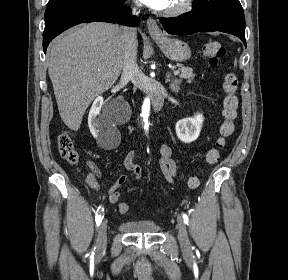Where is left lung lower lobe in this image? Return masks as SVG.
<instances>
[{"label":"left lung lower lobe","mask_w":288,"mask_h":280,"mask_svg":"<svg viewBox=\"0 0 288 280\" xmlns=\"http://www.w3.org/2000/svg\"><path fill=\"white\" fill-rule=\"evenodd\" d=\"M165 30L170 34L186 35L195 32L221 31L239 37L244 44L245 26L229 17L194 9L180 18H160Z\"/></svg>","instance_id":"1"}]
</instances>
